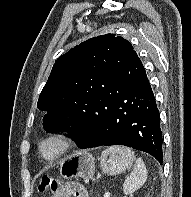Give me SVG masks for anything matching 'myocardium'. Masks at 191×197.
Returning <instances> with one entry per match:
<instances>
[{
    "label": "myocardium",
    "instance_id": "1",
    "mask_svg": "<svg viewBox=\"0 0 191 197\" xmlns=\"http://www.w3.org/2000/svg\"><path fill=\"white\" fill-rule=\"evenodd\" d=\"M48 144L56 145L52 154H47L45 151ZM75 144V137L71 132L63 129L52 130L38 141V155L43 161L51 163L68 154L75 147Z\"/></svg>",
    "mask_w": 191,
    "mask_h": 197
}]
</instances>
